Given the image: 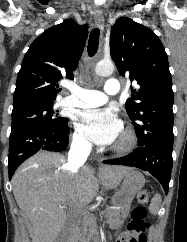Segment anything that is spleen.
<instances>
[{"instance_id": "spleen-1", "label": "spleen", "mask_w": 187, "mask_h": 242, "mask_svg": "<svg viewBox=\"0 0 187 242\" xmlns=\"http://www.w3.org/2000/svg\"><path fill=\"white\" fill-rule=\"evenodd\" d=\"M161 204V196L160 194L156 193L152 199V202L149 206V211L153 214L156 215L158 213V210L160 208Z\"/></svg>"}]
</instances>
